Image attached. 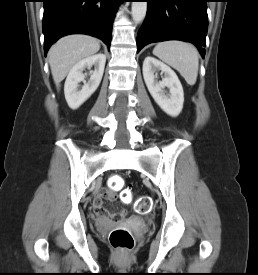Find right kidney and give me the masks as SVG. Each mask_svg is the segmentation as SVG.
<instances>
[{
  "instance_id": "right-kidney-1",
  "label": "right kidney",
  "mask_w": 258,
  "mask_h": 275,
  "mask_svg": "<svg viewBox=\"0 0 258 275\" xmlns=\"http://www.w3.org/2000/svg\"><path fill=\"white\" fill-rule=\"evenodd\" d=\"M105 63L106 56L99 53L79 61L72 67L64 85L65 98L71 109H77L96 91L104 73ZM93 65L95 70L91 73L88 82H84L80 89L79 83L85 78L83 70Z\"/></svg>"
}]
</instances>
